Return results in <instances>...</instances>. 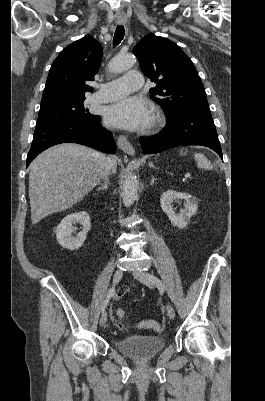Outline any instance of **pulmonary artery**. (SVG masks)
<instances>
[{"label": "pulmonary artery", "instance_id": "e3ab8cb5", "mask_svg": "<svg viewBox=\"0 0 265 401\" xmlns=\"http://www.w3.org/2000/svg\"><path fill=\"white\" fill-rule=\"evenodd\" d=\"M122 69L114 70V76L108 78L104 84L94 83V86H102L96 96L91 98L94 102L124 101L125 95H134L140 88L141 73L128 72L127 75L121 74ZM127 84V86H126Z\"/></svg>", "mask_w": 265, "mask_h": 401}]
</instances>
